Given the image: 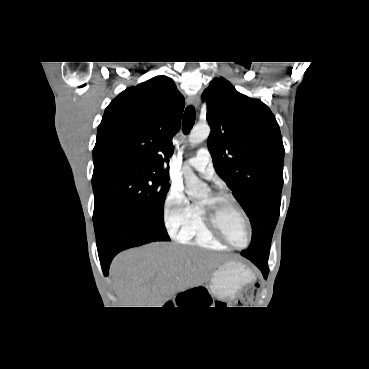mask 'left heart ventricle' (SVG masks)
Listing matches in <instances>:
<instances>
[{
    "label": "left heart ventricle",
    "mask_w": 369,
    "mask_h": 369,
    "mask_svg": "<svg viewBox=\"0 0 369 369\" xmlns=\"http://www.w3.org/2000/svg\"><path fill=\"white\" fill-rule=\"evenodd\" d=\"M210 195L206 196L200 205L207 206ZM219 223L227 238L237 246L247 242V227L240 212L231 204L223 203L219 207Z\"/></svg>",
    "instance_id": "left-heart-ventricle-1"
}]
</instances>
